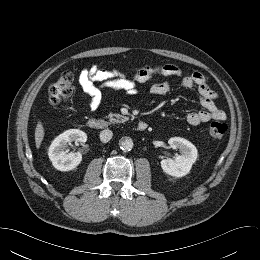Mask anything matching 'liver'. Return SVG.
I'll return each instance as SVG.
<instances>
[{"mask_svg":"<svg viewBox=\"0 0 260 260\" xmlns=\"http://www.w3.org/2000/svg\"><path fill=\"white\" fill-rule=\"evenodd\" d=\"M44 135H45V131H44L43 125L41 122H38L36 129H35V144H36L37 148L40 147V145L43 141Z\"/></svg>","mask_w":260,"mask_h":260,"instance_id":"6515ba94","label":"liver"}]
</instances>
